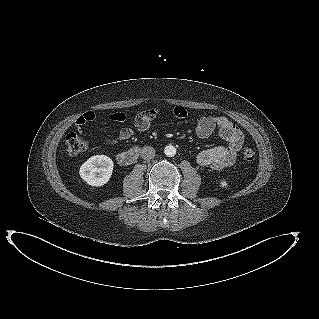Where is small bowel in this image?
Masks as SVG:
<instances>
[{
    "mask_svg": "<svg viewBox=\"0 0 319 319\" xmlns=\"http://www.w3.org/2000/svg\"><path fill=\"white\" fill-rule=\"evenodd\" d=\"M159 110L151 108L139 113L134 120V127L138 131H145L150 128L153 120L158 116ZM171 114L177 119L187 117V110L184 107L176 106L172 109ZM94 115L88 112L79 117L76 127L79 131L82 126L93 120ZM119 122L118 120H114ZM214 132L226 142L225 146H216L211 149L200 152L196 157V162L201 166L210 167L214 170H224L231 167L237 158V154L244 143L242 131L229 119L223 116H202L196 124L195 133L199 138H207ZM134 134V129L130 127L122 128L117 136L109 139V144H115L119 141L128 140Z\"/></svg>",
    "mask_w": 319,
    "mask_h": 319,
    "instance_id": "1",
    "label": "small bowel"
}]
</instances>
